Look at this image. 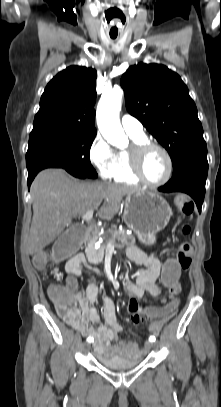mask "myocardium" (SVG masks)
<instances>
[{"label":"myocardium","instance_id":"f54148a6","mask_svg":"<svg viewBox=\"0 0 221 407\" xmlns=\"http://www.w3.org/2000/svg\"><path fill=\"white\" fill-rule=\"evenodd\" d=\"M153 149L161 151L168 161V172L166 177L163 180L157 182L149 180L143 172V159L145 155ZM127 153L129 159V167L132 174L143 184L152 187H159L168 183L172 178L174 172V161L170 152L164 146L151 141L137 142L131 145Z\"/></svg>","mask_w":221,"mask_h":407}]
</instances>
